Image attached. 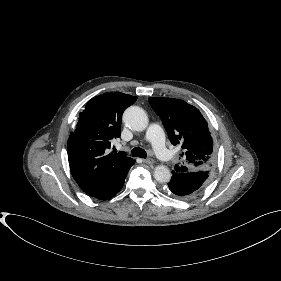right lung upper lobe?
<instances>
[{
  "instance_id": "obj_1",
  "label": "right lung upper lobe",
  "mask_w": 281,
  "mask_h": 281,
  "mask_svg": "<svg viewBox=\"0 0 281 281\" xmlns=\"http://www.w3.org/2000/svg\"><path fill=\"white\" fill-rule=\"evenodd\" d=\"M136 99L120 92L92 98L69 136L67 151L72 176L90 196L99 198L108 193L135 163L124 152H108L111 140L120 136L124 109Z\"/></svg>"
}]
</instances>
